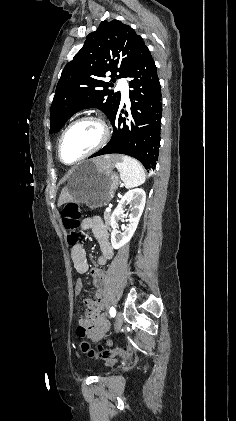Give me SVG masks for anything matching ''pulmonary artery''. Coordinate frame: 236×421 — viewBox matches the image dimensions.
I'll return each instance as SVG.
<instances>
[{
    "instance_id": "obj_1",
    "label": "pulmonary artery",
    "mask_w": 236,
    "mask_h": 421,
    "mask_svg": "<svg viewBox=\"0 0 236 421\" xmlns=\"http://www.w3.org/2000/svg\"><path fill=\"white\" fill-rule=\"evenodd\" d=\"M118 84L119 85H124L125 84V79L124 78H119L118 79ZM120 90H121V95H122V101L128 104L129 103L128 86H123Z\"/></svg>"
}]
</instances>
